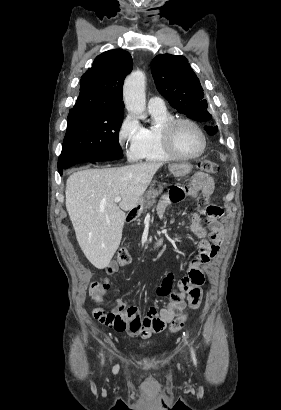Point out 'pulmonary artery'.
<instances>
[{
    "instance_id": "obj_1",
    "label": "pulmonary artery",
    "mask_w": 281,
    "mask_h": 410,
    "mask_svg": "<svg viewBox=\"0 0 281 410\" xmlns=\"http://www.w3.org/2000/svg\"><path fill=\"white\" fill-rule=\"evenodd\" d=\"M148 108L149 110H164L166 109V106L162 98L158 96H152L148 100Z\"/></svg>"
}]
</instances>
